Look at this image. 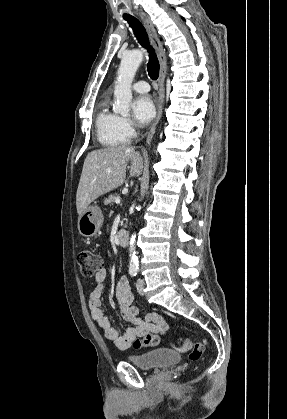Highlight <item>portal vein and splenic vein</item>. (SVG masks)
I'll return each mask as SVG.
<instances>
[{
	"label": "portal vein and splenic vein",
	"instance_id": "portal-vein-and-splenic-vein-1",
	"mask_svg": "<svg viewBox=\"0 0 287 419\" xmlns=\"http://www.w3.org/2000/svg\"><path fill=\"white\" fill-rule=\"evenodd\" d=\"M115 202L117 203V204H119L120 203V199L118 198V199H116L115 200Z\"/></svg>",
	"mask_w": 287,
	"mask_h": 419
}]
</instances>
